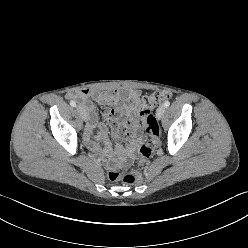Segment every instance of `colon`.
<instances>
[{"label": "colon", "instance_id": "obj_1", "mask_svg": "<svg viewBox=\"0 0 248 248\" xmlns=\"http://www.w3.org/2000/svg\"><path fill=\"white\" fill-rule=\"evenodd\" d=\"M171 93L165 90H158L149 96H145L139 109V115L148 134V141L140 148L139 159L135 166L127 173H119L115 170L108 171L106 178L108 182H123L127 184L137 183L141 180L143 165L152 157L153 152L160 140L159 124L152 114V109L170 99Z\"/></svg>", "mask_w": 248, "mask_h": 248}]
</instances>
